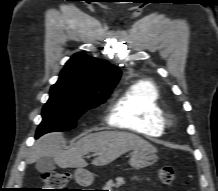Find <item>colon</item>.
I'll return each mask as SVG.
<instances>
[{"mask_svg":"<svg viewBox=\"0 0 218 191\" xmlns=\"http://www.w3.org/2000/svg\"><path fill=\"white\" fill-rule=\"evenodd\" d=\"M158 178L161 183L170 185L175 180V171L171 166H162L158 169ZM70 174L67 172H47L42 175L44 188L40 191H70Z\"/></svg>","mask_w":218,"mask_h":191,"instance_id":"colon-1","label":"colon"}]
</instances>
